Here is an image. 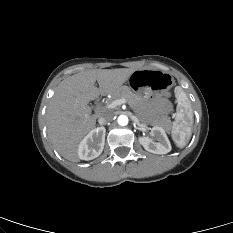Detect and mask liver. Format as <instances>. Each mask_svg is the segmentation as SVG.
Wrapping results in <instances>:
<instances>
[{
    "label": "liver",
    "instance_id": "1",
    "mask_svg": "<svg viewBox=\"0 0 233 233\" xmlns=\"http://www.w3.org/2000/svg\"><path fill=\"white\" fill-rule=\"evenodd\" d=\"M134 71L130 68L85 70L60 82L46 118L49 139L62 157L79 161V143L101 116L91 115L88 103L100 95L117 93ZM96 80L99 88L95 86Z\"/></svg>",
    "mask_w": 233,
    "mask_h": 233
}]
</instances>
